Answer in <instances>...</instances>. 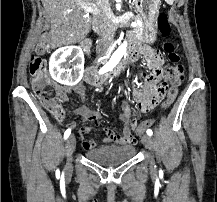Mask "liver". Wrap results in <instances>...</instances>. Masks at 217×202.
Instances as JSON below:
<instances>
[{"instance_id":"liver-1","label":"liver","mask_w":217,"mask_h":202,"mask_svg":"<svg viewBox=\"0 0 217 202\" xmlns=\"http://www.w3.org/2000/svg\"><path fill=\"white\" fill-rule=\"evenodd\" d=\"M50 22L52 48L82 42L91 30L89 16L95 0H41Z\"/></svg>"}]
</instances>
